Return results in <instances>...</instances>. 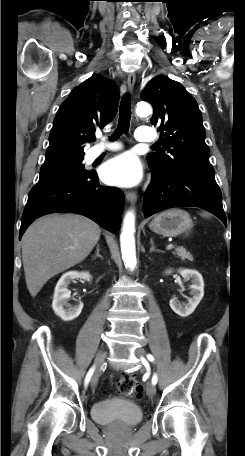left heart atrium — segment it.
Masks as SVG:
<instances>
[{
	"instance_id": "obj_1",
	"label": "left heart atrium",
	"mask_w": 245,
	"mask_h": 456,
	"mask_svg": "<svg viewBox=\"0 0 245 456\" xmlns=\"http://www.w3.org/2000/svg\"><path fill=\"white\" fill-rule=\"evenodd\" d=\"M142 175V164L132 152H126L111 158L101 169V177L106 183L122 187L138 184L142 179Z\"/></svg>"
}]
</instances>
